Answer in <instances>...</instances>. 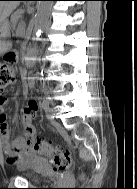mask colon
Wrapping results in <instances>:
<instances>
[{
	"mask_svg": "<svg viewBox=\"0 0 137 189\" xmlns=\"http://www.w3.org/2000/svg\"><path fill=\"white\" fill-rule=\"evenodd\" d=\"M13 60L14 54L9 52L6 54L5 61L0 63V94L2 93V89L14 80ZM37 108L38 104L36 101H29L27 106L29 113H35ZM30 147L37 154L48 158L60 171H65L71 166L72 158L70 152L54 146L51 142L37 138L31 141Z\"/></svg>",
	"mask_w": 137,
	"mask_h": 189,
	"instance_id": "5ec220e1",
	"label": "colon"
}]
</instances>
